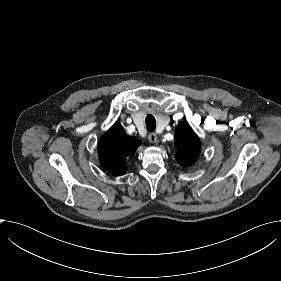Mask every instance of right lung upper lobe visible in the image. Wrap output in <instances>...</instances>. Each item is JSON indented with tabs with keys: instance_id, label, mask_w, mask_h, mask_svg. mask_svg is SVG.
<instances>
[{
	"instance_id": "right-lung-upper-lobe-1",
	"label": "right lung upper lobe",
	"mask_w": 281,
	"mask_h": 281,
	"mask_svg": "<svg viewBox=\"0 0 281 281\" xmlns=\"http://www.w3.org/2000/svg\"><path fill=\"white\" fill-rule=\"evenodd\" d=\"M140 145L138 139L129 137L120 126L114 124L98 143L101 166L113 175L125 173L127 160Z\"/></svg>"
}]
</instances>
